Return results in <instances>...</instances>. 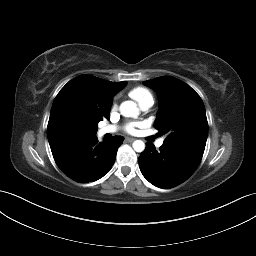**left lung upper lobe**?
Masks as SVG:
<instances>
[{
	"label": "left lung upper lobe",
	"mask_w": 256,
	"mask_h": 256,
	"mask_svg": "<svg viewBox=\"0 0 256 256\" xmlns=\"http://www.w3.org/2000/svg\"><path fill=\"white\" fill-rule=\"evenodd\" d=\"M154 89L160 110L154 127L167 134L163 146L200 162L206 145L208 123L200 96L186 83L171 76L143 82Z\"/></svg>",
	"instance_id": "5c2ea615"
}]
</instances>
